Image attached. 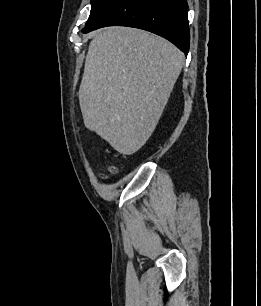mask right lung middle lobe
<instances>
[{"label": "right lung middle lobe", "instance_id": "1", "mask_svg": "<svg viewBox=\"0 0 261 306\" xmlns=\"http://www.w3.org/2000/svg\"><path fill=\"white\" fill-rule=\"evenodd\" d=\"M113 0H91V12L86 22V26L91 23L99 13L109 5Z\"/></svg>", "mask_w": 261, "mask_h": 306}]
</instances>
